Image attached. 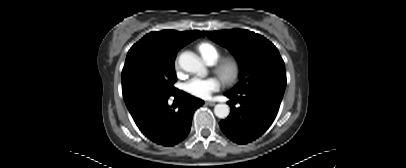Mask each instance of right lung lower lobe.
<instances>
[{"instance_id":"98d812e1","label":"right lung lower lobe","mask_w":406,"mask_h":168,"mask_svg":"<svg viewBox=\"0 0 406 168\" xmlns=\"http://www.w3.org/2000/svg\"><path fill=\"white\" fill-rule=\"evenodd\" d=\"M172 96L175 100L171 106L168 104L169 96L131 114L145 136L164 146H173L186 138L194 111L204 104L202 100L180 90H176Z\"/></svg>"}]
</instances>
